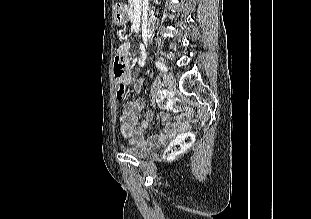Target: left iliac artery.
Segmentation results:
<instances>
[{"mask_svg":"<svg viewBox=\"0 0 311 219\" xmlns=\"http://www.w3.org/2000/svg\"><path fill=\"white\" fill-rule=\"evenodd\" d=\"M155 64H156L157 68L159 70H161L162 72H166L167 71V67L165 66L164 63H162L160 61H156Z\"/></svg>","mask_w":311,"mask_h":219,"instance_id":"1","label":"left iliac artery"}]
</instances>
